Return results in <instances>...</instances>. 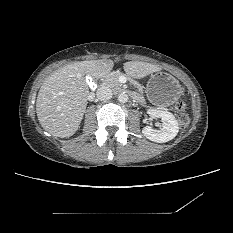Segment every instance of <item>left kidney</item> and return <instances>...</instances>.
Segmentation results:
<instances>
[{
  "label": "left kidney",
  "instance_id": "5707ae66",
  "mask_svg": "<svg viewBox=\"0 0 233 233\" xmlns=\"http://www.w3.org/2000/svg\"><path fill=\"white\" fill-rule=\"evenodd\" d=\"M147 113L153 118H161L163 122L160 130H155L150 126L142 129V133L147 139L157 143H165L177 135L178 122L172 113L156 109H149Z\"/></svg>",
  "mask_w": 233,
  "mask_h": 233
}]
</instances>
